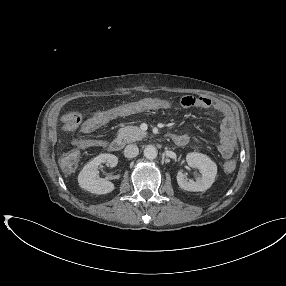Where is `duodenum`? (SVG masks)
<instances>
[{"label":"duodenum","mask_w":286,"mask_h":286,"mask_svg":"<svg viewBox=\"0 0 286 286\" xmlns=\"http://www.w3.org/2000/svg\"><path fill=\"white\" fill-rule=\"evenodd\" d=\"M169 138L177 145V146H184L185 142L178 138L176 135H170ZM123 140L120 138H115L110 141L109 143V149L113 152H119L123 147Z\"/></svg>","instance_id":"duodenum-1"}]
</instances>
